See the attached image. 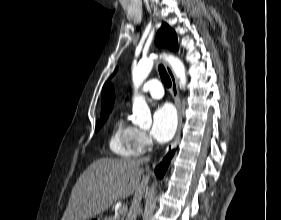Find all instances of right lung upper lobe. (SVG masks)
<instances>
[{
  "instance_id": "1",
  "label": "right lung upper lobe",
  "mask_w": 281,
  "mask_h": 220,
  "mask_svg": "<svg viewBox=\"0 0 281 220\" xmlns=\"http://www.w3.org/2000/svg\"><path fill=\"white\" fill-rule=\"evenodd\" d=\"M113 104L114 90L109 83H106L102 90L101 108L103 113L101 114V116L108 115V113L112 110Z\"/></svg>"
}]
</instances>
